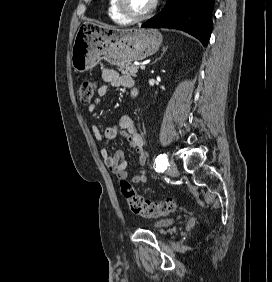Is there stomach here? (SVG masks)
Here are the masks:
<instances>
[{
    "label": "stomach",
    "instance_id": "1",
    "mask_svg": "<svg viewBox=\"0 0 272 282\" xmlns=\"http://www.w3.org/2000/svg\"><path fill=\"white\" fill-rule=\"evenodd\" d=\"M162 43V35L155 29H119L85 23L74 39L71 64L76 72L92 69L102 59L112 65L128 64L153 55Z\"/></svg>",
    "mask_w": 272,
    "mask_h": 282
}]
</instances>
